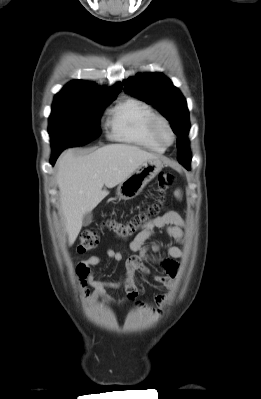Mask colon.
<instances>
[{
  "label": "colon",
  "mask_w": 261,
  "mask_h": 399,
  "mask_svg": "<svg viewBox=\"0 0 261 399\" xmlns=\"http://www.w3.org/2000/svg\"><path fill=\"white\" fill-rule=\"evenodd\" d=\"M175 182L173 174L169 172H161L157 177L158 196L156 200L141 210L133 214L126 222L109 220L105 223V227L112 231L118 238L127 240L139 232L147 222L156 217L164 207L167 196ZM99 241V233L96 229H85L79 237L77 250L79 253H86L93 250Z\"/></svg>",
  "instance_id": "1"
}]
</instances>
